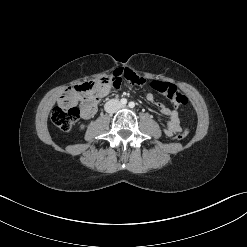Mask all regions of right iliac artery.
<instances>
[{
  "label": "right iliac artery",
  "mask_w": 247,
  "mask_h": 247,
  "mask_svg": "<svg viewBox=\"0 0 247 247\" xmlns=\"http://www.w3.org/2000/svg\"><path fill=\"white\" fill-rule=\"evenodd\" d=\"M120 102H121L122 105H126V104H127V99L122 98V99L120 100Z\"/></svg>",
  "instance_id": "1"
}]
</instances>
